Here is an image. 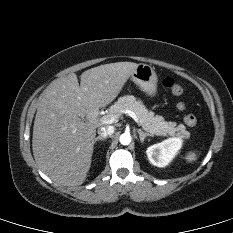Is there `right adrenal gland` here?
Here are the masks:
<instances>
[{
	"label": "right adrenal gland",
	"instance_id": "obj_1",
	"mask_svg": "<svg viewBox=\"0 0 233 233\" xmlns=\"http://www.w3.org/2000/svg\"><path fill=\"white\" fill-rule=\"evenodd\" d=\"M105 140H106V138H103V137L98 136L97 138H95V143H96L97 141H105Z\"/></svg>",
	"mask_w": 233,
	"mask_h": 233
}]
</instances>
